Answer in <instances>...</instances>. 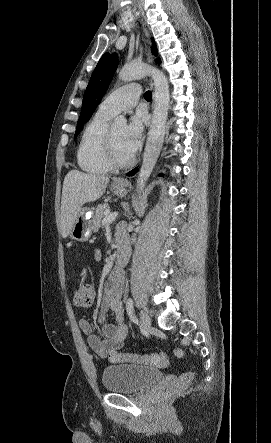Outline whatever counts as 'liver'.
Instances as JSON below:
<instances>
[{"mask_svg": "<svg viewBox=\"0 0 271 443\" xmlns=\"http://www.w3.org/2000/svg\"><path fill=\"white\" fill-rule=\"evenodd\" d=\"M108 176L83 174L71 170L64 178L61 200V233L68 237L77 216L82 212L83 204L96 202L103 196L107 186Z\"/></svg>", "mask_w": 271, "mask_h": 443, "instance_id": "1", "label": "liver"}]
</instances>
